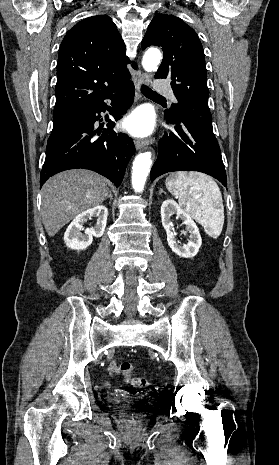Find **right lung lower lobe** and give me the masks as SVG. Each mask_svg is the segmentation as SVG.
<instances>
[{"label":"right lung lower lobe","instance_id":"obj_1","mask_svg":"<svg viewBox=\"0 0 279 465\" xmlns=\"http://www.w3.org/2000/svg\"><path fill=\"white\" fill-rule=\"evenodd\" d=\"M134 85L131 81L118 90L84 108L73 120V125L46 150L45 163L40 175V186L52 175L74 168L90 169L110 179L116 186L121 184L125 167L135 152L133 140L125 134L109 129L95 130L94 123L105 112V99L114 102L112 116L118 120L133 102ZM120 98V100H118Z\"/></svg>","mask_w":279,"mask_h":465}]
</instances>
